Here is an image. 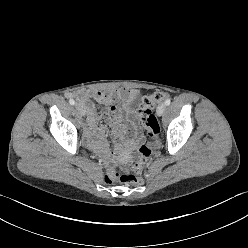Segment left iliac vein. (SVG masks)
<instances>
[{"instance_id": "obj_1", "label": "left iliac vein", "mask_w": 248, "mask_h": 248, "mask_svg": "<svg viewBox=\"0 0 248 248\" xmlns=\"http://www.w3.org/2000/svg\"><path fill=\"white\" fill-rule=\"evenodd\" d=\"M165 110H166V105L164 103H161L158 105L156 113L158 116H162Z\"/></svg>"}]
</instances>
